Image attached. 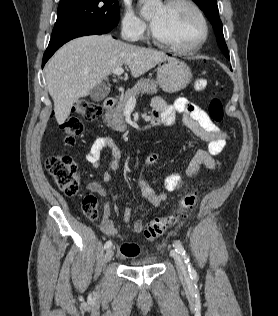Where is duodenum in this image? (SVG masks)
I'll list each match as a JSON object with an SVG mask.
<instances>
[{"label":"duodenum","instance_id":"duodenum-1","mask_svg":"<svg viewBox=\"0 0 278 316\" xmlns=\"http://www.w3.org/2000/svg\"><path fill=\"white\" fill-rule=\"evenodd\" d=\"M116 103V100L114 97H107L104 101H103V104H102V107L105 109V110H109L111 108H113V106L115 105Z\"/></svg>","mask_w":278,"mask_h":316}]
</instances>
